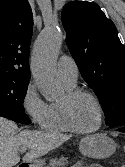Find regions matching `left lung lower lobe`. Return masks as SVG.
I'll use <instances>...</instances> for the list:
<instances>
[{"instance_id":"1","label":"left lung lower lobe","mask_w":125,"mask_h":167,"mask_svg":"<svg viewBox=\"0 0 125 167\" xmlns=\"http://www.w3.org/2000/svg\"><path fill=\"white\" fill-rule=\"evenodd\" d=\"M116 130L125 133V126L124 127H118V128H116Z\"/></svg>"}]
</instances>
